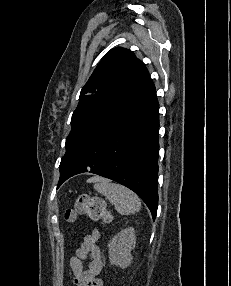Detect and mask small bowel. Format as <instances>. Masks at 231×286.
<instances>
[{"label": "small bowel", "mask_w": 231, "mask_h": 286, "mask_svg": "<svg viewBox=\"0 0 231 286\" xmlns=\"http://www.w3.org/2000/svg\"><path fill=\"white\" fill-rule=\"evenodd\" d=\"M99 236L97 229L86 235L70 260V268L74 275L73 282L76 286H102L99 275L103 269V261L101 250L97 245ZM89 256L91 260L88 267L84 268L83 261Z\"/></svg>", "instance_id": "obj_1"}]
</instances>
